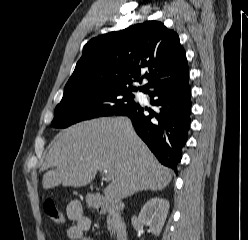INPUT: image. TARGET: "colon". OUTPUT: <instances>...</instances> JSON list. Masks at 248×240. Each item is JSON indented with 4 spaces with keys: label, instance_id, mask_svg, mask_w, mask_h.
Instances as JSON below:
<instances>
[{
    "label": "colon",
    "instance_id": "1",
    "mask_svg": "<svg viewBox=\"0 0 248 240\" xmlns=\"http://www.w3.org/2000/svg\"><path fill=\"white\" fill-rule=\"evenodd\" d=\"M45 214L56 225H62L65 222V215L52 200H47L43 205Z\"/></svg>",
    "mask_w": 248,
    "mask_h": 240
}]
</instances>
